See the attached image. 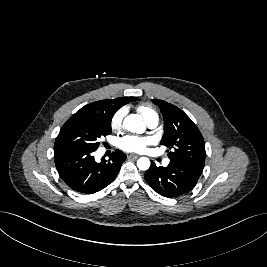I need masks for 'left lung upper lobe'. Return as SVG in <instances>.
<instances>
[{
  "mask_svg": "<svg viewBox=\"0 0 267 267\" xmlns=\"http://www.w3.org/2000/svg\"><path fill=\"white\" fill-rule=\"evenodd\" d=\"M164 118V134L161 145L167 150L170 160H177L204 168L205 143L193 121L178 107L162 100H153Z\"/></svg>",
  "mask_w": 267,
  "mask_h": 267,
  "instance_id": "1",
  "label": "left lung upper lobe"
}]
</instances>
